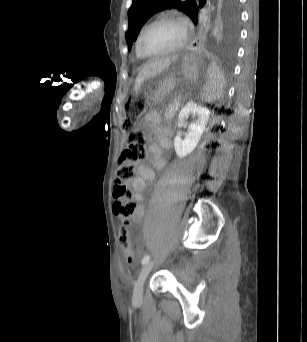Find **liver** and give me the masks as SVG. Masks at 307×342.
<instances>
[{
	"label": "liver",
	"mask_w": 307,
	"mask_h": 342,
	"mask_svg": "<svg viewBox=\"0 0 307 342\" xmlns=\"http://www.w3.org/2000/svg\"><path fill=\"white\" fill-rule=\"evenodd\" d=\"M172 60H175V56L174 58H161V60H156V62L146 64L145 68L140 70L135 80L134 90H140L146 78H153V76H157V74H160V72H163V70L169 68V66H171Z\"/></svg>",
	"instance_id": "1"
}]
</instances>
